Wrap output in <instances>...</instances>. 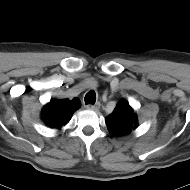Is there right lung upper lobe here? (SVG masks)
Segmentation results:
<instances>
[{"label": "right lung upper lobe", "instance_id": "right-lung-upper-lobe-1", "mask_svg": "<svg viewBox=\"0 0 190 190\" xmlns=\"http://www.w3.org/2000/svg\"><path fill=\"white\" fill-rule=\"evenodd\" d=\"M81 102L78 98L69 99H52L42 110V119L50 128L61 129L66 125L72 114L80 107Z\"/></svg>", "mask_w": 190, "mask_h": 190}]
</instances>
